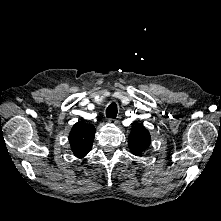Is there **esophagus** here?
I'll return each mask as SVG.
<instances>
[{
	"instance_id": "esophagus-1",
	"label": "esophagus",
	"mask_w": 221,
	"mask_h": 221,
	"mask_svg": "<svg viewBox=\"0 0 221 221\" xmlns=\"http://www.w3.org/2000/svg\"><path fill=\"white\" fill-rule=\"evenodd\" d=\"M108 122H109L110 124L115 125V124H117L119 121H118V119H116V118H111V119H109Z\"/></svg>"
}]
</instances>
